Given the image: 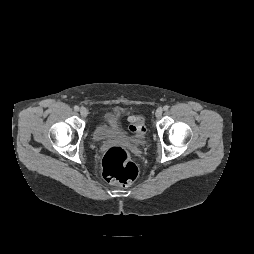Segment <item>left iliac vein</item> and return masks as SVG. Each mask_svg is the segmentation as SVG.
<instances>
[{"label":"left iliac vein","instance_id":"obj_1","mask_svg":"<svg viewBox=\"0 0 254 254\" xmlns=\"http://www.w3.org/2000/svg\"><path fill=\"white\" fill-rule=\"evenodd\" d=\"M163 113V109L162 108H158L155 112V115L157 118H160L162 116Z\"/></svg>","mask_w":254,"mask_h":254}]
</instances>
